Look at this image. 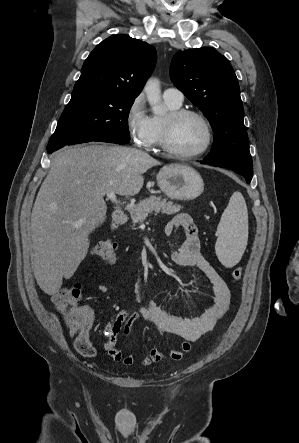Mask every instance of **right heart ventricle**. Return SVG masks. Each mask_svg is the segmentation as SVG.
<instances>
[{"instance_id":"right-heart-ventricle-1","label":"right heart ventricle","mask_w":299,"mask_h":443,"mask_svg":"<svg viewBox=\"0 0 299 443\" xmlns=\"http://www.w3.org/2000/svg\"><path fill=\"white\" fill-rule=\"evenodd\" d=\"M165 103L170 111L177 110L181 107V105L174 104L167 100H165ZM151 122H152V137L146 148L157 150L159 148L162 118L158 116H153L151 117Z\"/></svg>"}]
</instances>
